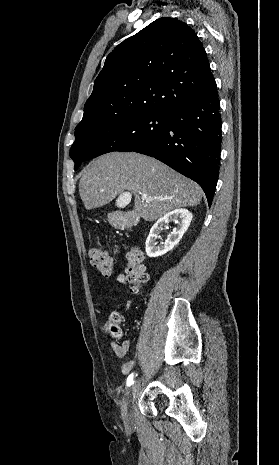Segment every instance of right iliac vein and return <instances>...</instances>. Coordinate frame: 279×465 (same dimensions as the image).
Returning a JSON list of instances; mask_svg holds the SVG:
<instances>
[{
  "mask_svg": "<svg viewBox=\"0 0 279 465\" xmlns=\"http://www.w3.org/2000/svg\"><path fill=\"white\" fill-rule=\"evenodd\" d=\"M138 385H139V381L137 380L132 385L130 391L127 393V396H126V404H125V408L123 411V419L126 424L132 423V414H131V411L128 410V407L131 406V404L134 402L136 398L137 391H138Z\"/></svg>",
  "mask_w": 279,
  "mask_h": 465,
  "instance_id": "1",
  "label": "right iliac vein"
}]
</instances>
